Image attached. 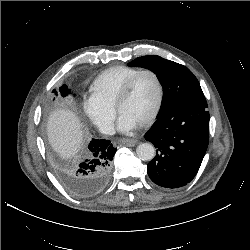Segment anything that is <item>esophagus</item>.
<instances>
[{"label":"esophagus","instance_id":"obj_1","mask_svg":"<svg viewBox=\"0 0 250 250\" xmlns=\"http://www.w3.org/2000/svg\"><path fill=\"white\" fill-rule=\"evenodd\" d=\"M137 142H138V140L134 139V138H123L120 140V143H122L123 145L129 146V147L136 145Z\"/></svg>","mask_w":250,"mask_h":250}]
</instances>
